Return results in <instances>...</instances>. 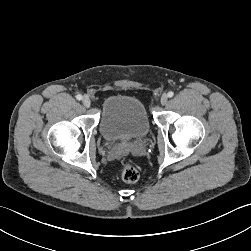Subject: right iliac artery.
<instances>
[{"mask_svg":"<svg viewBox=\"0 0 251 251\" xmlns=\"http://www.w3.org/2000/svg\"><path fill=\"white\" fill-rule=\"evenodd\" d=\"M76 99L79 101L82 100V95L81 94L76 95Z\"/></svg>","mask_w":251,"mask_h":251,"instance_id":"1","label":"right iliac artery"}]
</instances>
